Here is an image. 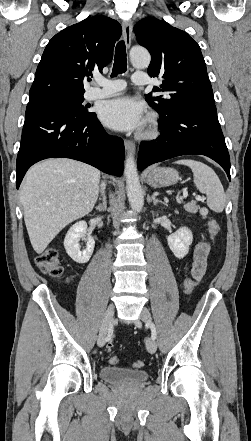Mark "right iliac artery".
<instances>
[{
	"label": "right iliac artery",
	"mask_w": 251,
	"mask_h": 441,
	"mask_svg": "<svg viewBox=\"0 0 251 441\" xmlns=\"http://www.w3.org/2000/svg\"><path fill=\"white\" fill-rule=\"evenodd\" d=\"M112 334H113V327L110 326V328L108 329V334L106 336L105 341H109L112 337Z\"/></svg>",
	"instance_id": "1"
}]
</instances>
